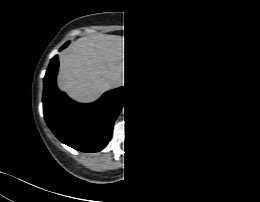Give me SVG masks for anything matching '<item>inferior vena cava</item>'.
I'll use <instances>...</instances> for the list:
<instances>
[{"mask_svg": "<svg viewBox=\"0 0 260 202\" xmlns=\"http://www.w3.org/2000/svg\"><path fill=\"white\" fill-rule=\"evenodd\" d=\"M120 85H121V83L119 81H117V80H113V81L110 82V87L111 88H117Z\"/></svg>", "mask_w": 260, "mask_h": 202, "instance_id": "602c4592", "label": "inferior vena cava"}]
</instances>
